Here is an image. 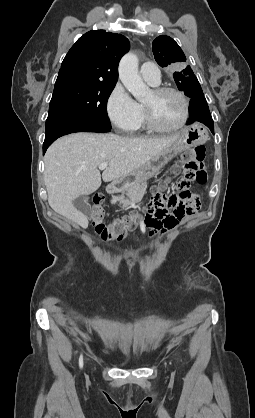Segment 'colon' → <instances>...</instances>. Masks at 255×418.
<instances>
[{
    "instance_id": "5ec220e1",
    "label": "colon",
    "mask_w": 255,
    "mask_h": 418,
    "mask_svg": "<svg viewBox=\"0 0 255 418\" xmlns=\"http://www.w3.org/2000/svg\"><path fill=\"white\" fill-rule=\"evenodd\" d=\"M204 159V146H197L183 155L180 165L183 170V179L178 184V191L169 196L155 192L145 215L147 227L163 232L174 225L175 221L179 222L186 220V217H192L199 209L200 200L189 191V187L191 183L203 185L207 182ZM178 168L179 166H175L173 171ZM102 200L101 196L94 198L92 224L103 241H120L124 237L126 228L132 223V219L114 218L106 225L103 219Z\"/></svg>"
}]
</instances>
